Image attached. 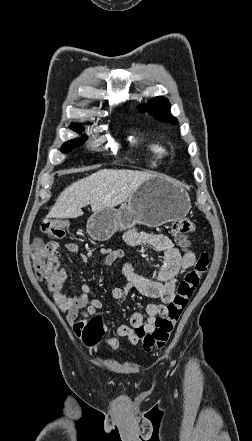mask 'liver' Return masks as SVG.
Returning <instances> with one entry per match:
<instances>
[{
    "mask_svg": "<svg viewBox=\"0 0 252 441\" xmlns=\"http://www.w3.org/2000/svg\"><path fill=\"white\" fill-rule=\"evenodd\" d=\"M154 174L129 169H100L64 189L46 218H77L82 208L92 211L113 209L125 202Z\"/></svg>",
    "mask_w": 252,
    "mask_h": 441,
    "instance_id": "liver-1",
    "label": "liver"
}]
</instances>
